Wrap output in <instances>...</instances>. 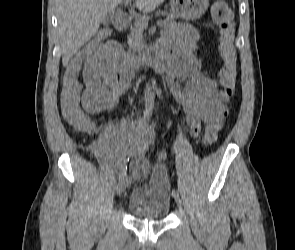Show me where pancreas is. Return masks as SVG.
<instances>
[{
  "label": "pancreas",
  "mask_w": 295,
  "mask_h": 250,
  "mask_svg": "<svg viewBox=\"0 0 295 250\" xmlns=\"http://www.w3.org/2000/svg\"><path fill=\"white\" fill-rule=\"evenodd\" d=\"M157 15L166 16V20L164 21V27H168L170 25H174L176 23L177 16L171 12L163 11V12H157ZM147 21L146 17H137L134 25L131 27L130 34L128 35V46L129 51L133 54L130 55V59L132 61L136 60V56L134 55L135 52L141 51L145 47V42L143 39V32L145 27L141 26L140 21L141 20Z\"/></svg>",
  "instance_id": "pancreas-1"
}]
</instances>
